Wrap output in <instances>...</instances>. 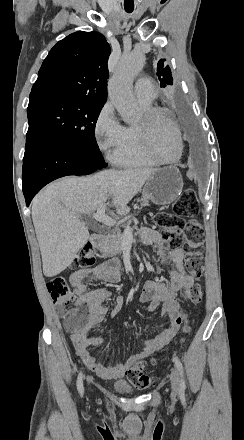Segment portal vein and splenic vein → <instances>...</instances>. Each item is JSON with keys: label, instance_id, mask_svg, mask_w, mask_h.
Returning <instances> with one entry per match:
<instances>
[{"label": "portal vein and splenic vein", "instance_id": "obj_1", "mask_svg": "<svg viewBox=\"0 0 244 440\" xmlns=\"http://www.w3.org/2000/svg\"><path fill=\"white\" fill-rule=\"evenodd\" d=\"M94 220H97V222H102V224H105V226H115L116 220H113V218H109V216H106L105 210H98L97 214H93ZM125 232H131V228L129 224L127 226H124Z\"/></svg>", "mask_w": 244, "mask_h": 440}]
</instances>
